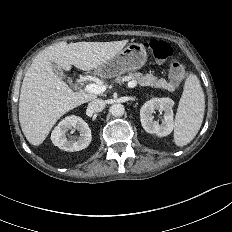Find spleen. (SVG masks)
I'll use <instances>...</instances> for the list:
<instances>
[{"label": "spleen", "instance_id": "spleen-1", "mask_svg": "<svg viewBox=\"0 0 232 232\" xmlns=\"http://www.w3.org/2000/svg\"><path fill=\"white\" fill-rule=\"evenodd\" d=\"M205 110L204 93L196 75L190 73L179 101L174 123V142L177 146L190 143L198 133Z\"/></svg>", "mask_w": 232, "mask_h": 232}]
</instances>
